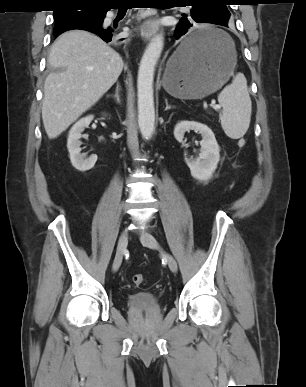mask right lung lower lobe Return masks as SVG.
<instances>
[{
    "mask_svg": "<svg viewBox=\"0 0 306 387\" xmlns=\"http://www.w3.org/2000/svg\"><path fill=\"white\" fill-rule=\"evenodd\" d=\"M107 11L108 10H106V12ZM105 16H106V13H105ZM105 16H104V18H105ZM102 23L103 22H94L93 25H88V24L75 25V26L67 28L63 31L57 32V33H55V35L58 36L61 33L65 32L67 30H71V29H83V30H87V31H90L92 33L99 35L106 42L118 41L115 38L116 31H117L116 26L106 27V26H102Z\"/></svg>",
    "mask_w": 306,
    "mask_h": 387,
    "instance_id": "98d812e1",
    "label": "right lung lower lobe"
}]
</instances>
